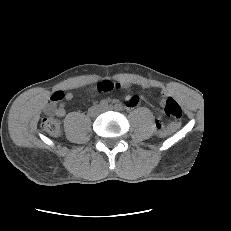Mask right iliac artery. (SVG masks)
Returning a JSON list of instances; mask_svg holds the SVG:
<instances>
[{"instance_id":"right-iliac-artery-1","label":"right iliac artery","mask_w":231,"mask_h":231,"mask_svg":"<svg viewBox=\"0 0 231 231\" xmlns=\"http://www.w3.org/2000/svg\"><path fill=\"white\" fill-rule=\"evenodd\" d=\"M100 106H101V107H107V106H108V102H107L106 100H102V101L100 102Z\"/></svg>"}]
</instances>
